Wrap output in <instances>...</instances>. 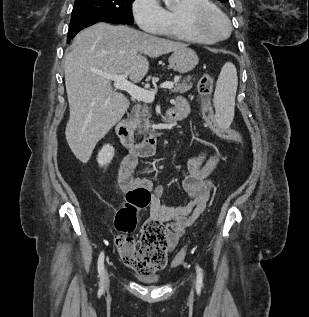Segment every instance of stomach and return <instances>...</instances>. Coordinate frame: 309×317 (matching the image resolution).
I'll use <instances>...</instances> for the list:
<instances>
[{"label":"stomach","instance_id":"obj_1","mask_svg":"<svg viewBox=\"0 0 309 317\" xmlns=\"http://www.w3.org/2000/svg\"><path fill=\"white\" fill-rule=\"evenodd\" d=\"M168 61L174 71L187 73L195 68L199 62V58L194 50L185 47L174 51Z\"/></svg>","mask_w":309,"mask_h":317}]
</instances>
